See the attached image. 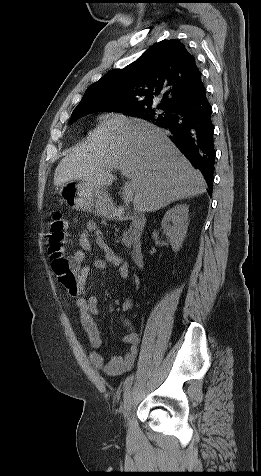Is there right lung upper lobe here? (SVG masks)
I'll use <instances>...</instances> for the list:
<instances>
[{"instance_id":"1","label":"right lung upper lobe","mask_w":261,"mask_h":476,"mask_svg":"<svg viewBox=\"0 0 261 476\" xmlns=\"http://www.w3.org/2000/svg\"><path fill=\"white\" fill-rule=\"evenodd\" d=\"M203 88L195 57L185 45L175 39L162 40L135 62L108 72L90 85L77 107L108 104L134 109L151 105L164 93L160 105L174 108L193 99Z\"/></svg>"}]
</instances>
